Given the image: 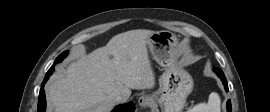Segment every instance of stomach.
I'll return each instance as SVG.
<instances>
[{
	"mask_svg": "<svg viewBox=\"0 0 270 112\" xmlns=\"http://www.w3.org/2000/svg\"><path fill=\"white\" fill-rule=\"evenodd\" d=\"M153 59L164 68L154 100L163 112H180L193 90V79L183 68L177 37L170 31H157L147 39Z\"/></svg>",
	"mask_w": 270,
	"mask_h": 112,
	"instance_id": "0dacf381",
	"label": "stomach"
}]
</instances>
